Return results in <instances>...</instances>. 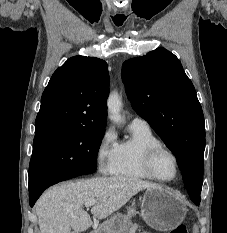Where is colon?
<instances>
[{
    "label": "colon",
    "mask_w": 227,
    "mask_h": 233,
    "mask_svg": "<svg viewBox=\"0 0 227 233\" xmlns=\"http://www.w3.org/2000/svg\"><path fill=\"white\" fill-rule=\"evenodd\" d=\"M142 233H148V232H142ZM169 233H188L187 227L185 225H180L170 231Z\"/></svg>",
    "instance_id": "1"
}]
</instances>
